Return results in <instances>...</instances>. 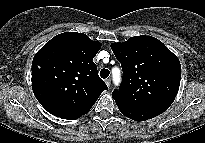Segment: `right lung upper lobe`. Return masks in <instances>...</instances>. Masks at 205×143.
Wrapping results in <instances>:
<instances>
[{
    "label": "right lung upper lobe",
    "mask_w": 205,
    "mask_h": 143,
    "mask_svg": "<svg viewBox=\"0 0 205 143\" xmlns=\"http://www.w3.org/2000/svg\"><path fill=\"white\" fill-rule=\"evenodd\" d=\"M101 44L83 33H61L34 56L32 88L51 114L74 119L87 113L107 89L93 62Z\"/></svg>",
    "instance_id": "cb5924a9"
}]
</instances>
